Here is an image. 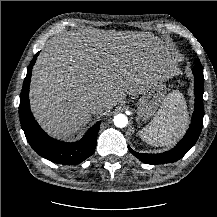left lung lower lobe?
Segmentation results:
<instances>
[{"instance_id": "obj_1", "label": "left lung lower lobe", "mask_w": 217, "mask_h": 217, "mask_svg": "<svg viewBox=\"0 0 217 217\" xmlns=\"http://www.w3.org/2000/svg\"><path fill=\"white\" fill-rule=\"evenodd\" d=\"M193 74L195 76V108L190 128L188 129L183 139L179 141V143L170 151L160 154H142L137 153L130 148L131 153L134 154L142 162L146 164H162L175 162L181 159L197 141L202 130V122L204 116V78L197 75V73L194 71Z\"/></svg>"}]
</instances>
